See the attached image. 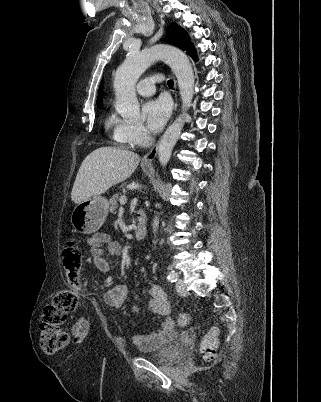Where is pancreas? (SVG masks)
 Segmentation results:
<instances>
[{
	"label": "pancreas",
	"mask_w": 321,
	"mask_h": 402,
	"mask_svg": "<svg viewBox=\"0 0 321 402\" xmlns=\"http://www.w3.org/2000/svg\"><path fill=\"white\" fill-rule=\"evenodd\" d=\"M120 197H122L121 193H119V194H114V195L112 196V198L109 200V204H110L109 211H110L111 213H114V212H115V210H116V208H117V200H118Z\"/></svg>",
	"instance_id": "pancreas-1"
}]
</instances>
